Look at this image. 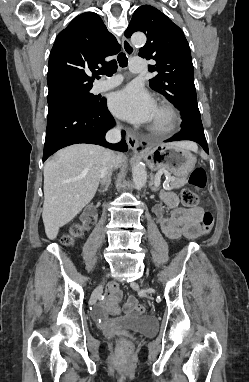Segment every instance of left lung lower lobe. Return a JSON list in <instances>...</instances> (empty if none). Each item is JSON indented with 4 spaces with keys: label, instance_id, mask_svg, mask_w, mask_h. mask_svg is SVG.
I'll list each match as a JSON object with an SVG mask.
<instances>
[{
    "label": "left lung lower lobe",
    "instance_id": "0a47b994",
    "mask_svg": "<svg viewBox=\"0 0 249 382\" xmlns=\"http://www.w3.org/2000/svg\"><path fill=\"white\" fill-rule=\"evenodd\" d=\"M191 140L200 144L208 153V145L201 120H183L181 131L165 142Z\"/></svg>",
    "mask_w": 249,
    "mask_h": 382
}]
</instances>
